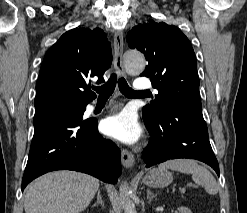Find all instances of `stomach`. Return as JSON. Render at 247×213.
I'll return each mask as SVG.
<instances>
[{
  "label": "stomach",
  "instance_id": "0dacf381",
  "mask_svg": "<svg viewBox=\"0 0 247 213\" xmlns=\"http://www.w3.org/2000/svg\"><path fill=\"white\" fill-rule=\"evenodd\" d=\"M173 181L172 174L166 169H150L143 178V183L149 187L161 188Z\"/></svg>",
  "mask_w": 247,
  "mask_h": 213
}]
</instances>
